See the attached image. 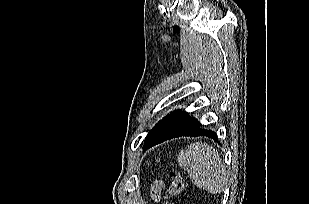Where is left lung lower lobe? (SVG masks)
Segmentation results:
<instances>
[{"mask_svg":"<svg viewBox=\"0 0 309 204\" xmlns=\"http://www.w3.org/2000/svg\"><path fill=\"white\" fill-rule=\"evenodd\" d=\"M199 123L186 116L184 111H175L163 118L152 130L149 131L143 149L180 136H207L216 139L215 132L199 128Z\"/></svg>","mask_w":309,"mask_h":204,"instance_id":"1","label":"left lung lower lobe"}]
</instances>
